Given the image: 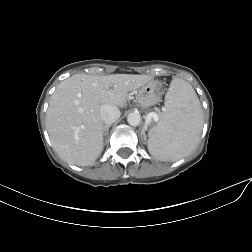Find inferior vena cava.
Listing matches in <instances>:
<instances>
[{"label":"inferior vena cava","instance_id":"1","mask_svg":"<svg viewBox=\"0 0 252 252\" xmlns=\"http://www.w3.org/2000/svg\"><path fill=\"white\" fill-rule=\"evenodd\" d=\"M101 119L105 124H112L120 117V110L112 105L104 104L100 108Z\"/></svg>","mask_w":252,"mask_h":252}]
</instances>
